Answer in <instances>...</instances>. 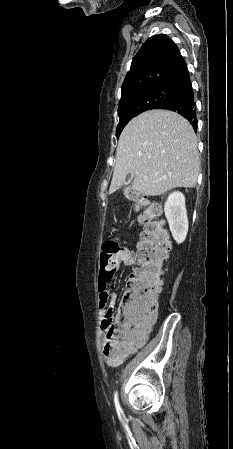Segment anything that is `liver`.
<instances>
[{"instance_id": "6515ba94", "label": "liver", "mask_w": 233, "mask_h": 449, "mask_svg": "<svg viewBox=\"0 0 233 449\" xmlns=\"http://www.w3.org/2000/svg\"><path fill=\"white\" fill-rule=\"evenodd\" d=\"M200 170L197 139L178 113L150 110L133 118L122 131L109 193L131 173L132 190L158 196L176 187L193 188Z\"/></svg>"}]
</instances>
